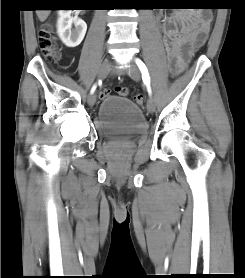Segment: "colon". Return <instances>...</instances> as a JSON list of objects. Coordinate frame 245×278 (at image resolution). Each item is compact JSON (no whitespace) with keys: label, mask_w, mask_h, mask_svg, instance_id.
<instances>
[{"label":"colon","mask_w":245,"mask_h":278,"mask_svg":"<svg viewBox=\"0 0 245 278\" xmlns=\"http://www.w3.org/2000/svg\"><path fill=\"white\" fill-rule=\"evenodd\" d=\"M191 8L193 9L197 8L203 11H208L210 8H212V4L210 3V0H204L203 3L194 4L191 6ZM208 27H209L208 19L205 18L203 23V28L208 29ZM38 41L45 60L50 64L56 63L60 58V52H59L57 40L51 32L50 25H46L42 29H40L38 34ZM170 72L171 74H176L177 69L171 67ZM115 90L117 94L120 96H127L129 93L126 87H117ZM109 94H110L109 90H103L101 92V96H108ZM134 101L136 102V104L141 105L144 102V98L142 95L138 94L134 96Z\"/></svg>","instance_id":"5ec220e1"}]
</instances>
